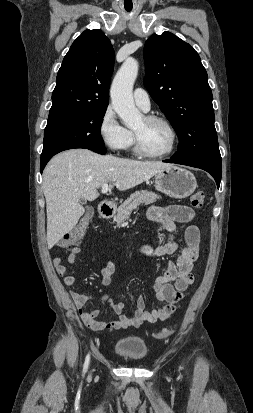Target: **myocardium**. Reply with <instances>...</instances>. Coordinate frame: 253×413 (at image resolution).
Returning <instances> with one entry per match:
<instances>
[{"label": "myocardium", "mask_w": 253, "mask_h": 413, "mask_svg": "<svg viewBox=\"0 0 253 413\" xmlns=\"http://www.w3.org/2000/svg\"><path fill=\"white\" fill-rule=\"evenodd\" d=\"M144 119L147 122H159L164 124L168 130L170 131L171 134V143L169 148L161 153H151L147 151L140 139V136L133 130V138H134V145H135V151L146 158H162L170 155L176 148L177 142H178V133L174 125L165 117L159 116V115H146L144 116Z\"/></svg>", "instance_id": "f54148a6"}]
</instances>
